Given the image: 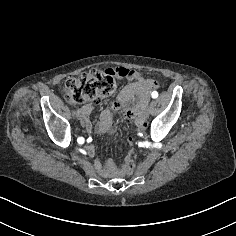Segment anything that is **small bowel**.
Instances as JSON below:
<instances>
[{
	"mask_svg": "<svg viewBox=\"0 0 236 236\" xmlns=\"http://www.w3.org/2000/svg\"><path fill=\"white\" fill-rule=\"evenodd\" d=\"M127 70L129 71V74L125 78L131 80L132 82L121 90L116 100L113 101L108 108L101 112L98 123L95 126V131L98 134H105L112 130V113L114 111H121L124 118L128 122L133 123L139 130H143L145 128L144 109L147 104L150 91L155 88L157 84L153 80L144 79L142 74L137 71ZM94 103H96V101L92 103H84L78 108L79 120L82 126L89 133L93 130L90 115ZM89 142L91 143V139H89ZM86 151L88 155L93 156L96 153V147L89 144L86 147ZM94 166L101 175L106 177H117L123 171V168L119 169L113 162L110 161L102 164L99 160H96L94 162Z\"/></svg>",
	"mask_w": 236,
	"mask_h": 236,
	"instance_id": "obj_1",
	"label": "small bowel"
}]
</instances>
